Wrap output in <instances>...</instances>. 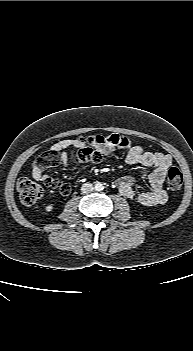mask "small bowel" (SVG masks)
<instances>
[{"label": "small bowel", "instance_id": "small-bowel-1", "mask_svg": "<svg viewBox=\"0 0 193 351\" xmlns=\"http://www.w3.org/2000/svg\"><path fill=\"white\" fill-rule=\"evenodd\" d=\"M102 138L104 142L99 146V151L102 154L110 155L116 149H122L126 153L125 159L127 164L139 165L150 170L148 175V191H137L134 187V179L125 176L116 181L120 194L124 197L135 199L144 206L151 207L164 204L167 201V193L163 188V183L166 173L172 165L171 157L167 154L147 151L143 147L133 144L127 137L117 134ZM78 147H82V143L79 139H63L54 143L51 146V150L59 153L62 165L67 166L69 159L68 150ZM33 177L52 187L48 183L51 178L47 175L43 173H33Z\"/></svg>", "mask_w": 193, "mask_h": 351}]
</instances>
